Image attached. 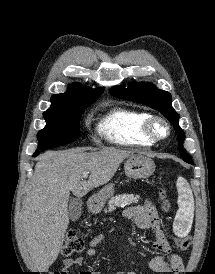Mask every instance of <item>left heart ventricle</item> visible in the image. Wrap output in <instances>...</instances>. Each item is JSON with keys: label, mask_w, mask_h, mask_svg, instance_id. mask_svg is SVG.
Returning <instances> with one entry per match:
<instances>
[{"label": "left heart ventricle", "mask_w": 215, "mask_h": 274, "mask_svg": "<svg viewBox=\"0 0 215 274\" xmlns=\"http://www.w3.org/2000/svg\"><path fill=\"white\" fill-rule=\"evenodd\" d=\"M159 132H162V128H159Z\"/></svg>", "instance_id": "1"}]
</instances>
